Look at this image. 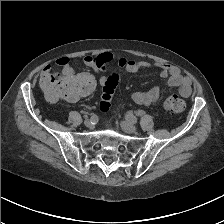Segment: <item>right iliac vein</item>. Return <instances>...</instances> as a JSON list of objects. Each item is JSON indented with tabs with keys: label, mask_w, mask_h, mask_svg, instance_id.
I'll use <instances>...</instances> for the list:
<instances>
[{
	"label": "right iliac vein",
	"mask_w": 224,
	"mask_h": 224,
	"mask_svg": "<svg viewBox=\"0 0 224 224\" xmlns=\"http://www.w3.org/2000/svg\"><path fill=\"white\" fill-rule=\"evenodd\" d=\"M85 126L88 127V128H93L94 124L91 120H85L84 122Z\"/></svg>",
	"instance_id": "63e3f726"
}]
</instances>
